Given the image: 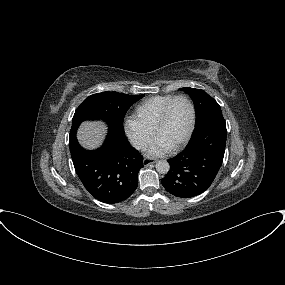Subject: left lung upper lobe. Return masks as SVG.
<instances>
[{"label":"left lung upper lobe","mask_w":285,"mask_h":285,"mask_svg":"<svg viewBox=\"0 0 285 285\" xmlns=\"http://www.w3.org/2000/svg\"><path fill=\"white\" fill-rule=\"evenodd\" d=\"M185 93L190 95L194 102L196 110V125L197 128L202 124L207 117L214 113H222L218 103L209 96L204 90L194 88H181Z\"/></svg>","instance_id":"left-lung-upper-lobe-1"}]
</instances>
